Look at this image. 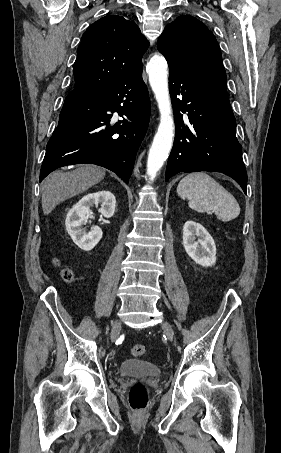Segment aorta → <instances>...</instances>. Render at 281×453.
<instances>
[{
    "mask_svg": "<svg viewBox=\"0 0 281 453\" xmlns=\"http://www.w3.org/2000/svg\"><path fill=\"white\" fill-rule=\"evenodd\" d=\"M146 70L160 113V123L147 160V175L153 181L171 151L174 138V119L168 88L167 61L163 56L156 54L147 63Z\"/></svg>",
    "mask_w": 281,
    "mask_h": 453,
    "instance_id": "1",
    "label": "aorta"
}]
</instances>
